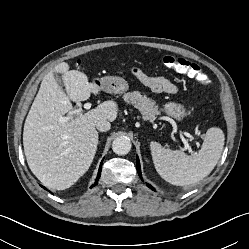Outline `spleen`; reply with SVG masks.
Masks as SVG:
<instances>
[{"label": "spleen", "instance_id": "spleen-1", "mask_svg": "<svg viewBox=\"0 0 249 249\" xmlns=\"http://www.w3.org/2000/svg\"><path fill=\"white\" fill-rule=\"evenodd\" d=\"M224 133L218 127L206 131L202 148L192 155L182 151L165 149L151 142V155L158 174L167 182L177 185H193L208 176L216 166L224 147Z\"/></svg>", "mask_w": 249, "mask_h": 249}]
</instances>
